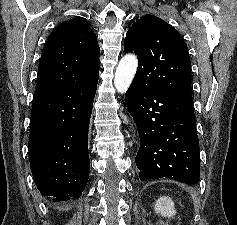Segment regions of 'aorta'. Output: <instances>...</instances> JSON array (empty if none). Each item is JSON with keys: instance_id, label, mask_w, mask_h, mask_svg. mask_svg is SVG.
Returning <instances> with one entry per match:
<instances>
[{"instance_id": "obj_1", "label": "aorta", "mask_w": 237, "mask_h": 225, "mask_svg": "<svg viewBox=\"0 0 237 225\" xmlns=\"http://www.w3.org/2000/svg\"><path fill=\"white\" fill-rule=\"evenodd\" d=\"M137 65L138 60L133 54H127L120 60L114 78V85L119 93L124 94L129 88L135 76Z\"/></svg>"}]
</instances>
